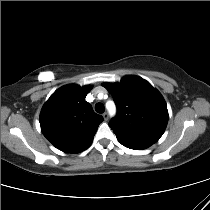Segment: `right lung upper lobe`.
Wrapping results in <instances>:
<instances>
[{"label": "right lung upper lobe", "instance_id": "right-lung-upper-lobe-1", "mask_svg": "<svg viewBox=\"0 0 210 210\" xmlns=\"http://www.w3.org/2000/svg\"><path fill=\"white\" fill-rule=\"evenodd\" d=\"M90 86L66 85L55 91L40 113L41 131L59 150L79 153L92 143L102 116L85 101Z\"/></svg>", "mask_w": 210, "mask_h": 210}]
</instances>
